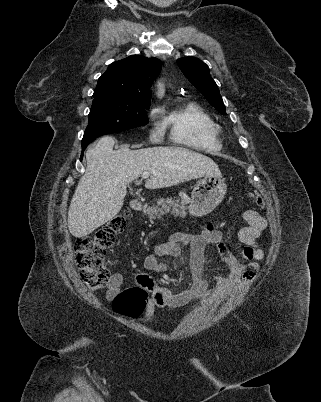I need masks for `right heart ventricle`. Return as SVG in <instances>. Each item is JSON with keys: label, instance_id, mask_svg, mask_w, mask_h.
I'll list each match as a JSON object with an SVG mask.
<instances>
[{"label": "right heart ventricle", "instance_id": "obj_1", "mask_svg": "<svg viewBox=\"0 0 321 402\" xmlns=\"http://www.w3.org/2000/svg\"><path fill=\"white\" fill-rule=\"evenodd\" d=\"M160 127L176 145L205 152L219 151L222 148L218 125L195 102H187L164 115Z\"/></svg>", "mask_w": 321, "mask_h": 402}]
</instances>
